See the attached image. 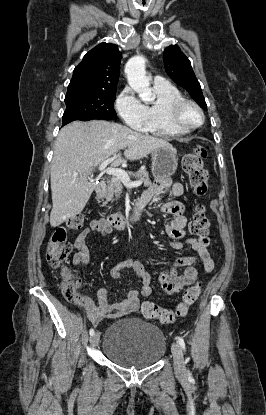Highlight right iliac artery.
<instances>
[{"label": "right iliac artery", "mask_w": 266, "mask_h": 415, "mask_svg": "<svg viewBox=\"0 0 266 415\" xmlns=\"http://www.w3.org/2000/svg\"><path fill=\"white\" fill-rule=\"evenodd\" d=\"M89 333H90L91 336H93L94 335V329L91 328L90 331H89Z\"/></svg>", "instance_id": "right-iliac-artery-1"}]
</instances>
